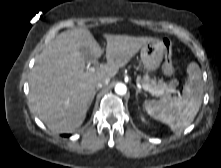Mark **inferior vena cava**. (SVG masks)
Instances as JSON below:
<instances>
[{
	"mask_svg": "<svg viewBox=\"0 0 221 168\" xmlns=\"http://www.w3.org/2000/svg\"><path fill=\"white\" fill-rule=\"evenodd\" d=\"M110 78H104L97 82L96 87L98 89L102 88L103 86H106L109 84Z\"/></svg>",
	"mask_w": 221,
	"mask_h": 168,
	"instance_id": "obj_1",
	"label": "inferior vena cava"
}]
</instances>
